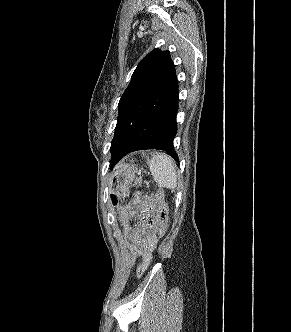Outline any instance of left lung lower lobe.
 Returning a JSON list of instances; mask_svg holds the SVG:
<instances>
[{"mask_svg": "<svg viewBox=\"0 0 291 332\" xmlns=\"http://www.w3.org/2000/svg\"><path fill=\"white\" fill-rule=\"evenodd\" d=\"M179 90L176 74L167 86L147 104L132 136L111 158L113 167L124 155L146 149L166 151L178 161L173 140L177 133Z\"/></svg>", "mask_w": 291, "mask_h": 332, "instance_id": "obj_1", "label": "left lung lower lobe"}]
</instances>
